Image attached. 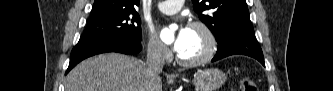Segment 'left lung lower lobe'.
I'll return each mask as SVG.
<instances>
[{
  "label": "left lung lower lobe",
  "mask_w": 333,
  "mask_h": 91,
  "mask_svg": "<svg viewBox=\"0 0 333 91\" xmlns=\"http://www.w3.org/2000/svg\"><path fill=\"white\" fill-rule=\"evenodd\" d=\"M218 42V49L212 61L242 54L257 59L265 66L262 50L256 40L253 27H242L228 32Z\"/></svg>",
  "instance_id": "1"
}]
</instances>
